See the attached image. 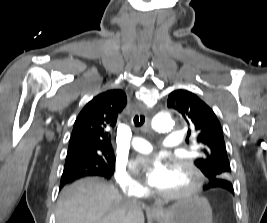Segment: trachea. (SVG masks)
I'll use <instances>...</instances> for the list:
<instances>
[{"mask_svg": "<svg viewBox=\"0 0 267 223\" xmlns=\"http://www.w3.org/2000/svg\"><path fill=\"white\" fill-rule=\"evenodd\" d=\"M133 122L136 127H141L145 123V116L136 114L133 118Z\"/></svg>", "mask_w": 267, "mask_h": 223, "instance_id": "trachea-1", "label": "trachea"}]
</instances>
